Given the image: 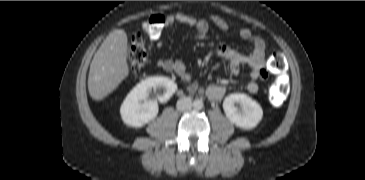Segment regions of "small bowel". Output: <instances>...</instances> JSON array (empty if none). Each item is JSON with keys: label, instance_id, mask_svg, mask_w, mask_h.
Returning <instances> with one entry per match:
<instances>
[{"label": "small bowel", "instance_id": "1", "mask_svg": "<svg viewBox=\"0 0 365 180\" xmlns=\"http://www.w3.org/2000/svg\"><path fill=\"white\" fill-rule=\"evenodd\" d=\"M211 21L222 31L229 29L228 23L219 16H212ZM175 24L194 29L200 39L208 38L209 25L203 19H196L183 13H174L166 16L165 26L170 27ZM238 33L242 39L247 40L251 44L252 52L250 54L241 53L232 47L224 45L215 46L212 50L228 63L229 70L233 75H238L243 67H247L252 80L246 84V91L249 94H256L259 90L256 80L263 81L267 78L265 43L261 37L254 35L248 28H241ZM155 42L157 47L160 48L164 44V39L160 36L155 38ZM157 65L166 71L176 73L183 82L189 83L191 91H201L211 101H218L225 94V88L221 85L211 84L204 86L197 82L191 83V76L181 61L160 59Z\"/></svg>", "mask_w": 365, "mask_h": 180}]
</instances>
